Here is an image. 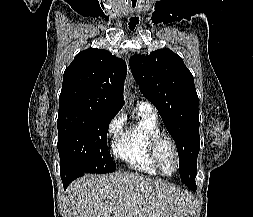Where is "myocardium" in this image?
<instances>
[{"label": "myocardium", "instance_id": "myocardium-1", "mask_svg": "<svg viewBox=\"0 0 253 217\" xmlns=\"http://www.w3.org/2000/svg\"><path fill=\"white\" fill-rule=\"evenodd\" d=\"M165 142L170 145L175 157V169L172 173L164 172L159 160V148ZM148 148H149V154H150L151 160L153 161L154 165L156 166L157 170L162 176L169 177V176L174 175L178 171L179 166H180L179 151H178L175 141L169 135L159 133L158 135L154 136L150 140Z\"/></svg>", "mask_w": 253, "mask_h": 217}]
</instances>
